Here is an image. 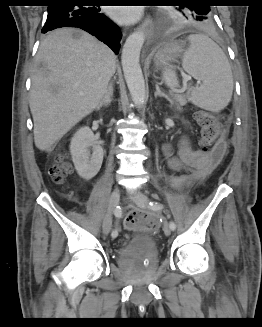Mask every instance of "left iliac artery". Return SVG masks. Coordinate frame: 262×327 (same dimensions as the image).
<instances>
[{
    "label": "left iliac artery",
    "instance_id": "left-iliac-artery-1",
    "mask_svg": "<svg viewBox=\"0 0 262 327\" xmlns=\"http://www.w3.org/2000/svg\"><path fill=\"white\" fill-rule=\"evenodd\" d=\"M149 207L152 210H160L163 208V205L156 201H152L149 203ZM169 226H170L171 230H175V228H176V224L173 221L170 222Z\"/></svg>",
    "mask_w": 262,
    "mask_h": 327
}]
</instances>
